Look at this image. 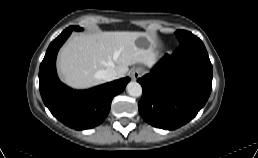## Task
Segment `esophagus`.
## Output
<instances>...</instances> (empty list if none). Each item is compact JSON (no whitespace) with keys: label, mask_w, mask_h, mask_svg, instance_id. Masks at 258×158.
Returning a JSON list of instances; mask_svg holds the SVG:
<instances>
[{"label":"esophagus","mask_w":258,"mask_h":158,"mask_svg":"<svg viewBox=\"0 0 258 158\" xmlns=\"http://www.w3.org/2000/svg\"><path fill=\"white\" fill-rule=\"evenodd\" d=\"M143 74V70L140 68H135L131 71V78L133 80L138 79L139 77H141V75Z\"/></svg>","instance_id":"1"}]
</instances>
